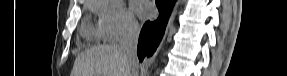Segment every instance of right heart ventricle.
<instances>
[{"label":"right heart ventricle","instance_id":"obj_1","mask_svg":"<svg viewBox=\"0 0 287 76\" xmlns=\"http://www.w3.org/2000/svg\"><path fill=\"white\" fill-rule=\"evenodd\" d=\"M83 34L93 39H99L102 37L100 30L94 29L90 24H86L83 27Z\"/></svg>","mask_w":287,"mask_h":76}]
</instances>
